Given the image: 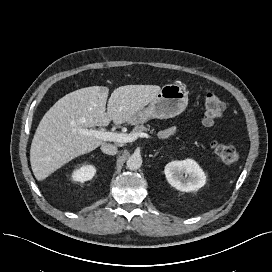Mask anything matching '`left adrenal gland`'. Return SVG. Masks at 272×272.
<instances>
[{
	"mask_svg": "<svg viewBox=\"0 0 272 272\" xmlns=\"http://www.w3.org/2000/svg\"><path fill=\"white\" fill-rule=\"evenodd\" d=\"M158 153H159V152H156V153L154 154V157H155V156H157V155H158Z\"/></svg>",
	"mask_w": 272,
	"mask_h": 272,
	"instance_id": "left-adrenal-gland-1",
	"label": "left adrenal gland"
}]
</instances>
